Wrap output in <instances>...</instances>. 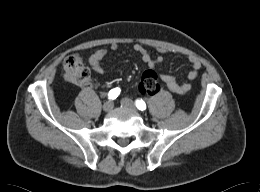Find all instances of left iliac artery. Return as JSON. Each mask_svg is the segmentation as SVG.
Here are the masks:
<instances>
[{
  "label": "left iliac artery",
  "mask_w": 260,
  "mask_h": 192,
  "mask_svg": "<svg viewBox=\"0 0 260 192\" xmlns=\"http://www.w3.org/2000/svg\"><path fill=\"white\" fill-rule=\"evenodd\" d=\"M136 106L140 110H144L146 108L145 102L142 100L137 101Z\"/></svg>",
  "instance_id": "left-iliac-artery-1"
}]
</instances>
